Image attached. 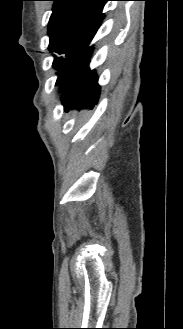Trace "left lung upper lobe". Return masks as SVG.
Listing matches in <instances>:
<instances>
[{
  "mask_svg": "<svg viewBox=\"0 0 183 329\" xmlns=\"http://www.w3.org/2000/svg\"><path fill=\"white\" fill-rule=\"evenodd\" d=\"M54 1L48 24L49 50L65 57L54 55L53 65L58 66L70 57L80 43L105 18L102 13L109 0H51Z\"/></svg>",
  "mask_w": 183,
  "mask_h": 329,
  "instance_id": "left-lung-upper-lobe-1",
  "label": "left lung upper lobe"
}]
</instances>
